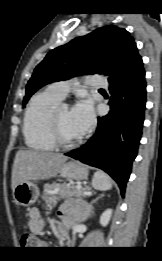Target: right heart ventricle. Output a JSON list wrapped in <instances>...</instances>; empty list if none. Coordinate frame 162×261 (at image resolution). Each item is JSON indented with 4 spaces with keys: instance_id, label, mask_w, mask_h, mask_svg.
<instances>
[{
    "instance_id": "e07e8e85",
    "label": "right heart ventricle",
    "mask_w": 162,
    "mask_h": 261,
    "mask_svg": "<svg viewBox=\"0 0 162 261\" xmlns=\"http://www.w3.org/2000/svg\"><path fill=\"white\" fill-rule=\"evenodd\" d=\"M60 101L48 89L37 92L31 98L23 119V135L29 148L36 151H51L55 148L49 132L48 118Z\"/></svg>"
}]
</instances>
